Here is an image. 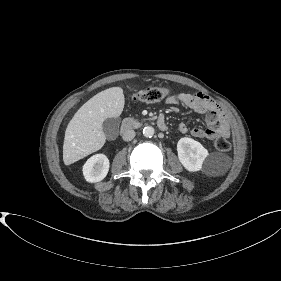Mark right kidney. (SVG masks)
Segmentation results:
<instances>
[{"label":"right kidney","instance_id":"right-kidney-1","mask_svg":"<svg viewBox=\"0 0 281 281\" xmlns=\"http://www.w3.org/2000/svg\"><path fill=\"white\" fill-rule=\"evenodd\" d=\"M109 160L104 154L91 156L83 166V175L87 182L96 183L103 180L109 171Z\"/></svg>","mask_w":281,"mask_h":281}]
</instances>
